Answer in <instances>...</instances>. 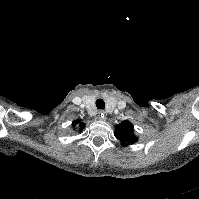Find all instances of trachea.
<instances>
[{
  "instance_id": "3493384b",
  "label": "trachea",
  "mask_w": 199,
  "mask_h": 199,
  "mask_svg": "<svg viewBox=\"0 0 199 199\" xmlns=\"http://www.w3.org/2000/svg\"><path fill=\"white\" fill-rule=\"evenodd\" d=\"M96 107L98 109H104L105 108V102L103 101V99H97L96 100Z\"/></svg>"
}]
</instances>
